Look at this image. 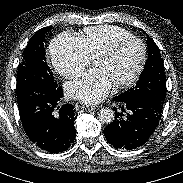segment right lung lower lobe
<instances>
[{"label": "right lung lower lobe", "instance_id": "right-lung-lower-lobe-1", "mask_svg": "<svg viewBox=\"0 0 183 183\" xmlns=\"http://www.w3.org/2000/svg\"><path fill=\"white\" fill-rule=\"evenodd\" d=\"M63 90L60 86L51 92H31L18 101L19 115L29 139L50 153L67 150L75 140L74 107H59Z\"/></svg>", "mask_w": 183, "mask_h": 183}]
</instances>
